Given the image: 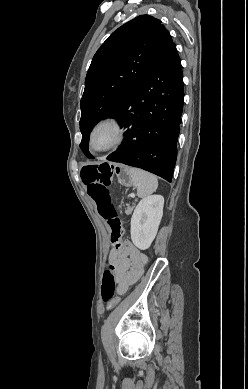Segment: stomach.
<instances>
[{
	"label": "stomach",
	"instance_id": "obj_1",
	"mask_svg": "<svg viewBox=\"0 0 248 389\" xmlns=\"http://www.w3.org/2000/svg\"><path fill=\"white\" fill-rule=\"evenodd\" d=\"M112 171H114V175L118 176V180L121 184L125 186L132 185V180L129 175L128 167L125 164H112Z\"/></svg>",
	"mask_w": 248,
	"mask_h": 389
}]
</instances>
